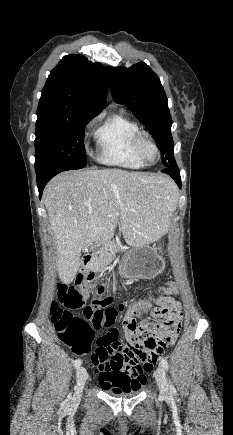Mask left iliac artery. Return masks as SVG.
Masks as SVG:
<instances>
[{"instance_id":"44dca946","label":"left iliac artery","mask_w":233,"mask_h":435,"mask_svg":"<svg viewBox=\"0 0 233 435\" xmlns=\"http://www.w3.org/2000/svg\"><path fill=\"white\" fill-rule=\"evenodd\" d=\"M160 362H161V365L164 367V369L167 370L168 369V362H167L166 358H162L160 360ZM170 391H174V387L172 384H170Z\"/></svg>"}]
</instances>
